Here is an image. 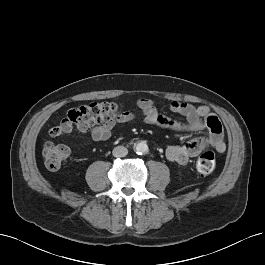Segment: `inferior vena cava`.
Here are the masks:
<instances>
[{"label":"inferior vena cava","mask_w":265,"mask_h":265,"mask_svg":"<svg viewBox=\"0 0 265 265\" xmlns=\"http://www.w3.org/2000/svg\"><path fill=\"white\" fill-rule=\"evenodd\" d=\"M112 153L114 157H125L128 154V149L124 146H116Z\"/></svg>","instance_id":"obj_1"}]
</instances>
